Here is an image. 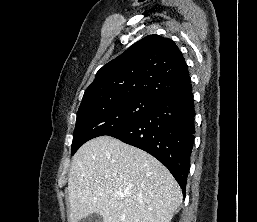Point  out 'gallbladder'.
<instances>
[{"label":"gallbladder","mask_w":257,"mask_h":222,"mask_svg":"<svg viewBox=\"0 0 257 222\" xmlns=\"http://www.w3.org/2000/svg\"><path fill=\"white\" fill-rule=\"evenodd\" d=\"M79 222H103V218L100 214L93 213L82 218Z\"/></svg>","instance_id":"obj_1"}]
</instances>
